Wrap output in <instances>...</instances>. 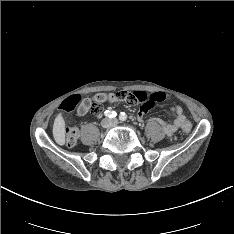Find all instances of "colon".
Segmentation results:
<instances>
[{"mask_svg":"<svg viewBox=\"0 0 234 234\" xmlns=\"http://www.w3.org/2000/svg\"><path fill=\"white\" fill-rule=\"evenodd\" d=\"M166 95L163 92H155L150 95L143 91H116L113 93H97L91 97L83 98L80 95L71 96L66 99L61 108L65 112L77 111L79 115L101 114L104 104L110 103H127L129 105H141L146 109H151L155 104L164 101ZM192 126L191 123L186 122L182 126L184 132H189ZM79 138V132L76 128H68L66 130V144L69 147L76 145Z\"/></svg>","mask_w":234,"mask_h":234,"instance_id":"colon-1","label":"colon"}]
</instances>
